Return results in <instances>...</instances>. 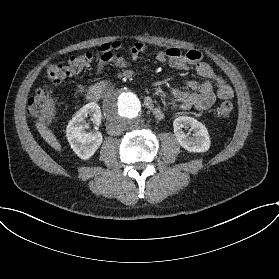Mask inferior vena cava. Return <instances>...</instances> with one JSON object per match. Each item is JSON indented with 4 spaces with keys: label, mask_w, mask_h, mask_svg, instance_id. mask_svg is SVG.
I'll return each mask as SVG.
<instances>
[{
    "label": "inferior vena cava",
    "mask_w": 279,
    "mask_h": 279,
    "mask_svg": "<svg viewBox=\"0 0 279 279\" xmlns=\"http://www.w3.org/2000/svg\"><path fill=\"white\" fill-rule=\"evenodd\" d=\"M107 133L110 136H118L121 135L123 132V128L117 124L110 123L106 126Z\"/></svg>",
    "instance_id": "inferior-vena-cava-1"
}]
</instances>
